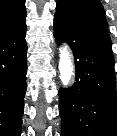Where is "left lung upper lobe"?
Returning <instances> with one entry per match:
<instances>
[{"label": "left lung upper lobe", "mask_w": 117, "mask_h": 136, "mask_svg": "<svg viewBox=\"0 0 117 136\" xmlns=\"http://www.w3.org/2000/svg\"><path fill=\"white\" fill-rule=\"evenodd\" d=\"M55 15L89 28L108 31L99 0H58Z\"/></svg>", "instance_id": "left-lung-upper-lobe-1"}]
</instances>
